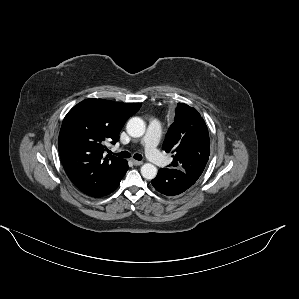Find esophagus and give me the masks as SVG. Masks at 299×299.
<instances>
[{"label":"esophagus","instance_id":"obj_1","mask_svg":"<svg viewBox=\"0 0 299 299\" xmlns=\"http://www.w3.org/2000/svg\"><path fill=\"white\" fill-rule=\"evenodd\" d=\"M132 163H133L135 166H140V165L143 164V161L132 160Z\"/></svg>","mask_w":299,"mask_h":299}]
</instances>
